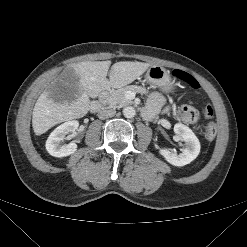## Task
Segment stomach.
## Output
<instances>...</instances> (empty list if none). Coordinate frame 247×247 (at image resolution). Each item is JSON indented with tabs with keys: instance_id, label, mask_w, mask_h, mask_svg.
<instances>
[{
	"instance_id": "1",
	"label": "stomach",
	"mask_w": 247,
	"mask_h": 247,
	"mask_svg": "<svg viewBox=\"0 0 247 247\" xmlns=\"http://www.w3.org/2000/svg\"><path fill=\"white\" fill-rule=\"evenodd\" d=\"M145 78L154 87H159L165 92L171 90L169 72L161 66H150L146 72Z\"/></svg>"
}]
</instances>
